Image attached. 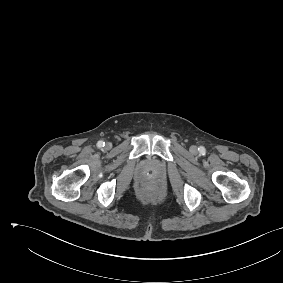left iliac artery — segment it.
<instances>
[{
  "label": "left iliac artery",
  "mask_w": 283,
  "mask_h": 283,
  "mask_svg": "<svg viewBox=\"0 0 283 283\" xmlns=\"http://www.w3.org/2000/svg\"><path fill=\"white\" fill-rule=\"evenodd\" d=\"M198 150H199V152L200 153H205V148L203 147V146H200L199 148H198Z\"/></svg>",
  "instance_id": "left-iliac-artery-1"
}]
</instances>
